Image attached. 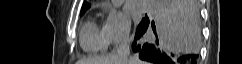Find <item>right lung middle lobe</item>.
Segmentation results:
<instances>
[{
    "instance_id": "obj_1",
    "label": "right lung middle lobe",
    "mask_w": 242,
    "mask_h": 64,
    "mask_svg": "<svg viewBox=\"0 0 242 64\" xmlns=\"http://www.w3.org/2000/svg\"><path fill=\"white\" fill-rule=\"evenodd\" d=\"M84 12H85V11L81 12L80 15H83ZM148 21H149V20H148L147 17H146V18H143V20H142L141 23L139 24L137 30L140 29V28H142V27H144V26L147 24Z\"/></svg>"
}]
</instances>
